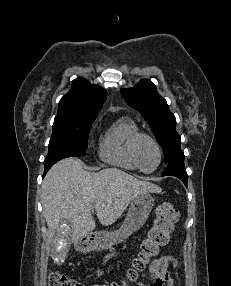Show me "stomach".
Instances as JSON below:
<instances>
[{
  "label": "stomach",
  "instance_id": "1",
  "mask_svg": "<svg viewBox=\"0 0 231 286\" xmlns=\"http://www.w3.org/2000/svg\"><path fill=\"white\" fill-rule=\"evenodd\" d=\"M153 206L154 199L150 193L137 195L132 199L127 216L118 230L89 233L75 243L77 250L89 252L111 249L115 244L124 242L132 233L144 225Z\"/></svg>",
  "mask_w": 231,
  "mask_h": 286
}]
</instances>
